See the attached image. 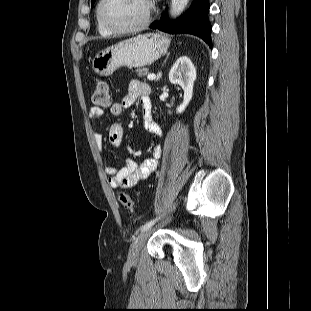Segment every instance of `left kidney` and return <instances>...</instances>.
I'll use <instances>...</instances> for the list:
<instances>
[{"mask_svg": "<svg viewBox=\"0 0 311 311\" xmlns=\"http://www.w3.org/2000/svg\"><path fill=\"white\" fill-rule=\"evenodd\" d=\"M195 80L196 69L191 60L187 56L178 58L169 72V81L184 90L183 103L177 107V113H182L191 101Z\"/></svg>", "mask_w": 311, "mask_h": 311, "instance_id": "obj_1", "label": "left kidney"}]
</instances>
